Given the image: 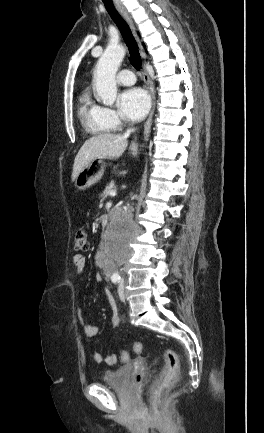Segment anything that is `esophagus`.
I'll return each mask as SVG.
<instances>
[{
    "label": "esophagus",
    "instance_id": "1",
    "mask_svg": "<svg viewBox=\"0 0 264 433\" xmlns=\"http://www.w3.org/2000/svg\"><path fill=\"white\" fill-rule=\"evenodd\" d=\"M113 1H114V4H115L117 10L121 13V15L124 17V19L128 23L136 41H137V44L139 46V50H140L142 58L146 59V54L144 52L141 41L137 35L136 28H135V25L133 23V20H132L130 14L127 12L126 8L124 7V5L120 1H118V0H113ZM143 79H144V81L147 84V87L149 89L150 96H151V102H152L150 114H149L148 119L146 120V122L144 124L143 138H144V140H147V138L149 137L150 131H151L152 118H153V114H154V110H155L156 97H155L154 85H153L152 81L150 80L149 75H148L145 68L143 69Z\"/></svg>",
    "mask_w": 264,
    "mask_h": 433
}]
</instances>
